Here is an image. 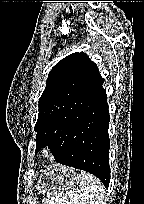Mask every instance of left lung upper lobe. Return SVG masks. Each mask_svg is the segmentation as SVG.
Segmentation results:
<instances>
[{"instance_id":"obj_1","label":"left lung upper lobe","mask_w":144,"mask_h":204,"mask_svg":"<svg viewBox=\"0 0 144 204\" xmlns=\"http://www.w3.org/2000/svg\"><path fill=\"white\" fill-rule=\"evenodd\" d=\"M98 73L96 64L83 52L63 58L52 68L39 100L36 152L45 146L52 149L64 140L86 99L88 85Z\"/></svg>"}]
</instances>
